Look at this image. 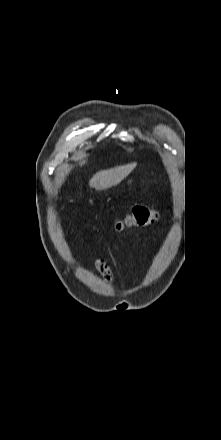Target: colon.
I'll list each match as a JSON object with an SVG mask.
<instances>
[{"label":"colon","instance_id":"obj_1","mask_svg":"<svg viewBox=\"0 0 221 440\" xmlns=\"http://www.w3.org/2000/svg\"><path fill=\"white\" fill-rule=\"evenodd\" d=\"M158 218L156 210L143 206H135L115 222V229L122 231L130 227H145L153 224Z\"/></svg>","mask_w":221,"mask_h":440}]
</instances>
